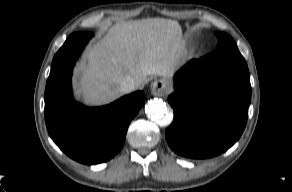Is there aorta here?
Returning a JSON list of instances; mask_svg holds the SVG:
<instances>
[{
	"label": "aorta",
	"instance_id": "aorta-1",
	"mask_svg": "<svg viewBox=\"0 0 292 192\" xmlns=\"http://www.w3.org/2000/svg\"><path fill=\"white\" fill-rule=\"evenodd\" d=\"M145 112L151 120L160 126H166L172 122V114L161 99L156 98L148 101L145 105Z\"/></svg>",
	"mask_w": 292,
	"mask_h": 192
}]
</instances>
